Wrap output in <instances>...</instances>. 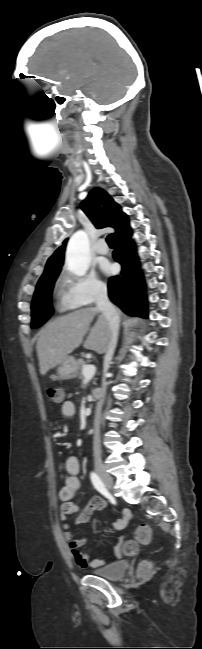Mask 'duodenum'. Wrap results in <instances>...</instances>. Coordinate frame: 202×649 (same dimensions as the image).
<instances>
[{"instance_id":"410a0bca","label":"duodenum","mask_w":202,"mask_h":649,"mask_svg":"<svg viewBox=\"0 0 202 649\" xmlns=\"http://www.w3.org/2000/svg\"><path fill=\"white\" fill-rule=\"evenodd\" d=\"M101 397H102V395L99 394V393H95V394H94V398H95V400H100Z\"/></svg>"}]
</instances>
